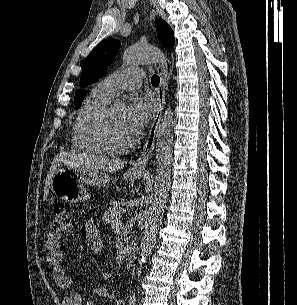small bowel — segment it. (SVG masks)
<instances>
[{"instance_id":"obj_1","label":"small bowel","mask_w":297,"mask_h":305,"mask_svg":"<svg viewBox=\"0 0 297 305\" xmlns=\"http://www.w3.org/2000/svg\"><path fill=\"white\" fill-rule=\"evenodd\" d=\"M81 236L84 241L95 252H101L104 248V242L101 239L96 224L93 220H88L81 227ZM60 234L50 231L47 235L45 246L48 250L47 263L51 270L56 285L62 289L70 290L73 285V279L68 274L64 266V253L60 249ZM102 297L113 300L115 305H124L123 301L114 296L107 288L95 287L87 296H82L78 292L69 291L63 297V305H94V297Z\"/></svg>"}]
</instances>
